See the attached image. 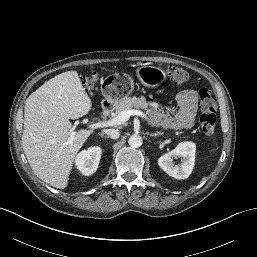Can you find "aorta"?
Returning <instances> with one entry per match:
<instances>
[{
    "label": "aorta",
    "mask_w": 257,
    "mask_h": 257,
    "mask_svg": "<svg viewBox=\"0 0 257 257\" xmlns=\"http://www.w3.org/2000/svg\"><path fill=\"white\" fill-rule=\"evenodd\" d=\"M143 139L138 134H133L128 139V144L133 148H138L142 145Z\"/></svg>",
    "instance_id": "aorta-1"
}]
</instances>
